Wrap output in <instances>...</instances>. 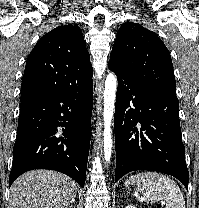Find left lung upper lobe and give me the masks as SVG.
Wrapping results in <instances>:
<instances>
[{
  "instance_id": "1",
  "label": "left lung upper lobe",
  "mask_w": 199,
  "mask_h": 208,
  "mask_svg": "<svg viewBox=\"0 0 199 208\" xmlns=\"http://www.w3.org/2000/svg\"><path fill=\"white\" fill-rule=\"evenodd\" d=\"M108 66L145 86L176 96L168 49L154 32L137 23L120 27Z\"/></svg>"
}]
</instances>
